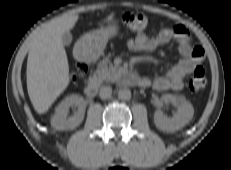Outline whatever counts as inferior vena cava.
I'll use <instances>...</instances> for the list:
<instances>
[{
	"mask_svg": "<svg viewBox=\"0 0 231 170\" xmlns=\"http://www.w3.org/2000/svg\"><path fill=\"white\" fill-rule=\"evenodd\" d=\"M112 88L110 86H105L100 88L99 96L101 99H108L111 97Z\"/></svg>",
	"mask_w": 231,
	"mask_h": 170,
	"instance_id": "inferior-vena-cava-1",
	"label": "inferior vena cava"
}]
</instances>
